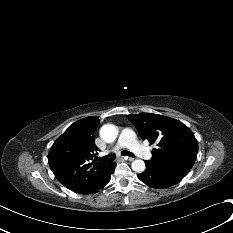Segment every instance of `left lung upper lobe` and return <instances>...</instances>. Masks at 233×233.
<instances>
[{
	"label": "left lung upper lobe",
	"mask_w": 233,
	"mask_h": 233,
	"mask_svg": "<svg viewBox=\"0 0 233 233\" xmlns=\"http://www.w3.org/2000/svg\"><path fill=\"white\" fill-rule=\"evenodd\" d=\"M127 118L143 140L157 144L148 161L182 179L189 173L197 157L198 143L186 125L153 113L131 114Z\"/></svg>",
	"instance_id": "obj_1"
}]
</instances>
